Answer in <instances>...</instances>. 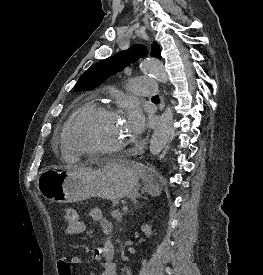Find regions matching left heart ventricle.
Instances as JSON below:
<instances>
[{
    "label": "left heart ventricle",
    "instance_id": "obj_1",
    "mask_svg": "<svg viewBox=\"0 0 263 275\" xmlns=\"http://www.w3.org/2000/svg\"><path fill=\"white\" fill-rule=\"evenodd\" d=\"M133 134L120 117L98 114L85 120L76 133L77 143L87 149H107L130 141Z\"/></svg>",
    "mask_w": 263,
    "mask_h": 275
}]
</instances>
